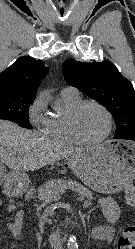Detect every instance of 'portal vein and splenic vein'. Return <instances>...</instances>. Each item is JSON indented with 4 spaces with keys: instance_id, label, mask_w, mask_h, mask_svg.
Here are the masks:
<instances>
[{
    "instance_id": "obj_1",
    "label": "portal vein and splenic vein",
    "mask_w": 135,
    "mask_h": 249,
    "mask_svg": "<svg viewBox=\"0 0 135 249\" xmlns=\"http://www.w3.org/2000/svg\"><path fill=\"white\" fill-rule=\"evenodd\" d=\"M60 198V196H58L57 198H54V200H58ZM78 201H83L84 200V197L82 196H79L76 198Z\"/></svg>"
}]
</instances>
